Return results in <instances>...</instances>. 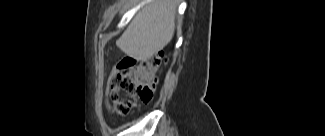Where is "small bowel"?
<instances>
[{"instance_id":"small-bowel-1","label":"small bowel","mask_w":325,"mask_h":136,"mask_svg":"<svg viewBox=\"0 0 325 136\" xmlns=\"http://www.w3.org/2000/svg\"><path fill=\"white\" fill-rule=\"evenodd\" d=\"M134 63H135V58L132 56V54L124 53L123 57L121 58V62H118V65L113 67L110 74V79L106 80V89L112 90L117 80H121L122 78H124V75L126 73L133 71L134 68L132 64ZM105 97L111 98L112 92L106 91Z\"/></svg>"}]
</instances>
